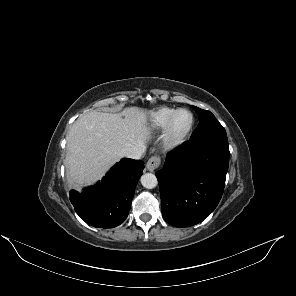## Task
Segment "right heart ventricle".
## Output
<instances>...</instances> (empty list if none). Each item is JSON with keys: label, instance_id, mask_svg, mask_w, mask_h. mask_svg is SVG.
<instances>
[{"label": "right heart ventricle", "instance_id": "obj_1", "mask_svg": "<svg viewBox=\"0 0 296 296\" xmlns=\"http://www.w3.org/2000/svg\"><path fill=\"white\" fill-rule=\"evenodd\" d=\"M175 111L174 108L163 107L151 112L144 126V131L155 133L164 130Z\"/></svg>", "mask_w": 296, "mask_h": 296}]
</instances>
